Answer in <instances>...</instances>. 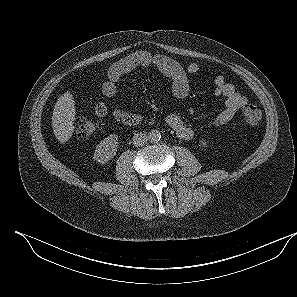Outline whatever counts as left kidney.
<instances>
[{
    "mask_svg": "<svg viewBox=\"0 0 297 297\" xmlns=\"http://www.w3.org/2000/svg\"><path fill=\"white\" fill-rule=\"evenodd\" d=\"M200 146L201 147H206L207 146V142L204 141V140L200 141Z\"/></svg>",
    "mask_w": 297,
    "mask_h": 297,
    "instance_id": "1",
    "label": "left kidney"
}]
</instances>
